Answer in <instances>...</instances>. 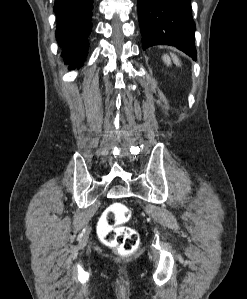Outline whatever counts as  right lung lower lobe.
I'll list each match as a JSON object with an SVG mask.
<instances>
[{"mask_svg":"<svg viewBox=\"0 0 247 299\" xmlns=\"http://www.w3.org/2000/svg\"><path fill=\"white\" fill-rule=\"evenodd\" d=\"M93 0H55L56 39L69 69L80 67L88 52Z\"/></svg>","mask_w":247,"mask_h":299,"instance_id":"98d812e1","label":"right lung lower lobe"}]
</instances>
